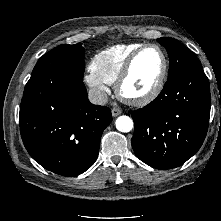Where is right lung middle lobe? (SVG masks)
<instances>
[{
  "label": "right lung middle lobe",
  "mask_w": 221,
  "mask_h": 221,
  "mask_svg": "<svg viewBox=\"0 0 221 221\" xmlns=\"http://www.w3.org/2000/svg\"><path fill=\"white\" fill-rule=\"evenodd\" d=\"M84 54L85 51L81 43L59 45L39 59L31 78L63 80L74 77L83 80Z\"/></svg>",
  "instance_id": "right-lung-middle-lobe-1"
}]
</instances>
